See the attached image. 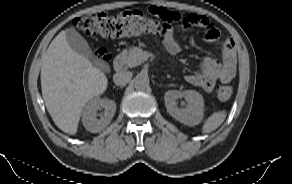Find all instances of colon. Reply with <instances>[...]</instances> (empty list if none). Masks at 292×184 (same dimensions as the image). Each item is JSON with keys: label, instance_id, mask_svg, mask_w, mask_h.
<instances>
[{"label": "colon", "instance_id": "5ec220e1", "mask_svg": "<svg viewBox=\"0 0 292 184\" xmlns=\"http://www.w3.org/2000/svg\"><path fill=\"white\" fill-rule=\"evenodd\" d=\"M73 22L86 35L119 38L140 34L163 36L171 30L173 23L185 24V17L164 8L152 7L148 14L138 10L115 15L90 13L75 18ZM95 54L101 60L108 59L107 52L102 48H97ZM216 94L221 101H226L231 97L232 89L219 85Z\"/></svg>", "mask_w": 292, "mask_h": 184}]
</instances>
